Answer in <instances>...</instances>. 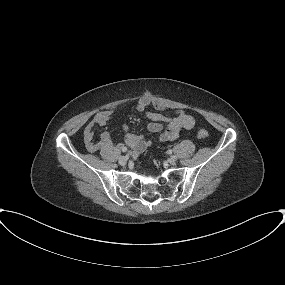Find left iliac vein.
Masks as SVG:
<instances>
[{
	"instance_id": "obj_1",
	"label": "left iliac vein",
	"mask_w": 285,
	"mask_h": 285,
	"mask_svg": "<svg viewBox=\"0 0 285 285\" xmlns=\"http://www.w3.org/2000/svg\"><path fill=\"white\" fill-rule=\"evenodd\" d=\"M176 161H177V157H176V156H171V157L169 158V162H170L171 164H175Z\"/></svg>"
}]
</instances>
